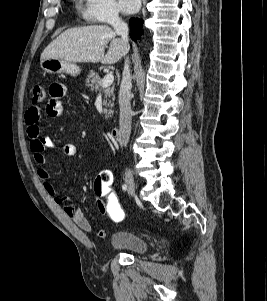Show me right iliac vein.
Listing matches in <instances>:
<instances>
[{"label":"right iliac vein","instance_id":"obj_1","mask_svg":"<svg viewBox=\"0 0 267 301\" xmlns=\"http://www.w3.org/2000/svg\"><path fill=\"white\" fill-rule=\"evenodd\" d=\"M125 182L127 185L128 194L131 196L135 195V181L132 172L129 169L125 171Z\"/></svg>","mask_w":267,"mask_h":301}]
</instances>
